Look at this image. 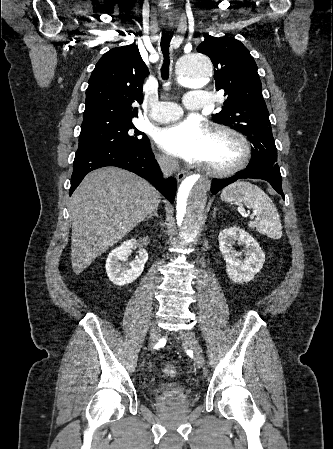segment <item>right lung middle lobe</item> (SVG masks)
I'll return each mask as SVG.
<instances>
[{"mask_svg": "<svg viewBox=\"0 0 333 449\" xmlns=\"http://www.w3.org/2000/svg\"><path fill=\"white\" fill-rule=\"evenodd\" d=\"M149 142L147 136L136 129L131 120L97 123L81 126L79 148L117 147L140 150Z\"/></svg>", "mask_w": 333, "mask_h": 449, "instance_id": "right-lung-middle-lobe-1", "label": "right lung middle lobe"}]
</instances>
